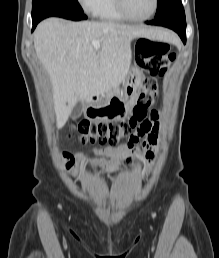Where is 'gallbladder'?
I'll use <instances>...</instances> for the list:
<instances>
[{
  "label": "gallbladder",
  "instance_id": "1",
  "mask_svg": "<svg viewBox=\"0 0 219 258\" xmlns=\"http://www.w3.org/2000/svg\"><path fill=\"white\" fill-rule=\"evenodd\" d=\"M83 111V106L80 102L76 103V105L73 107L72 112L70 114V117L72 119H77L81 116Z\"/></svg>",
  "mask_w": 219,
  "mask_h": 258
}]
</instances>
